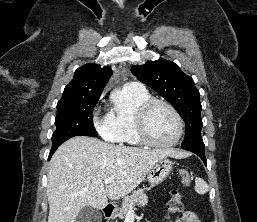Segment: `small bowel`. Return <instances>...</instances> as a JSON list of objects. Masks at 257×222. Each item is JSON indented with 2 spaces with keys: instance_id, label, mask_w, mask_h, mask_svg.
<instances>
[{
  "instance_id": "obj_1",
  "label": "small bowel",
  "mask_w": 257,
  "mask_h": 222,
  "mask_svg": "<svg viewBox=\"0 0 257 222\" xmlns=\"http://www.w3.org/2000/svg\"><path fill=\"white\" fill-rule=\"evenodd\" d=\"M180 222H200V220L193 212L182 210Z\"/></svg>"
}]
</instances>
